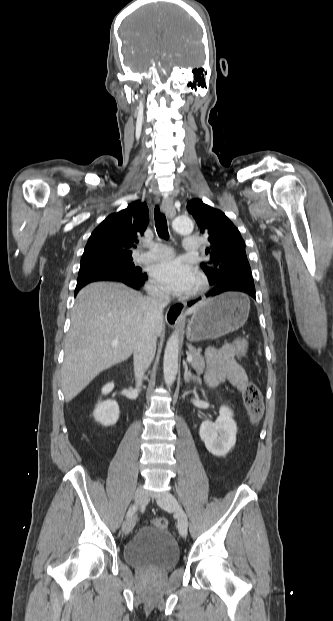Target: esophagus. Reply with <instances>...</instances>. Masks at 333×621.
<instances>
[{
    "label": "esophagus",
    "mask_w": 333,
    "mask_h": 621,
    "mask_svg": "<svg viewBox=\"0 0 333 621\" xmlns=\"http://www.w3.org/2000/svg\"><path fill=\"white\" fill-rule=\"evenodd\" d=\"M161 208L170 219H172L176 214V210L173 205V198L171 196H167L162 199ZM184 309L185 305L183 303H175L171 305L165 314V319L168 325L175 326L181 324L183 322Z\"/></svg>",
    "instance_id": "obj_1"
}]
</instances>
